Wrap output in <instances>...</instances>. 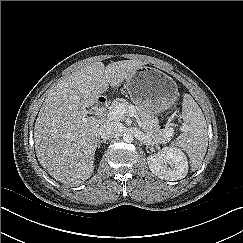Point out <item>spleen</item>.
I'll use <instances>...</instances> for the list:
<instances>
[{"label":"spleen","instance_id":"1","mask_svg":"<svg viewBox=\"0 0 243 243\" xmlns=\"http://www.w3.org/2000/svg\"><path fill=\"white\" fill-rule=\"evenodd\" d=\"M182 117L184 132L175 144L188 154L191 170L195 171L201 166L207 151L208 131L201 108L189 94H185L183 98Z\"/></svg>","mask_w":243,"mask_h":243}]
</instances>
